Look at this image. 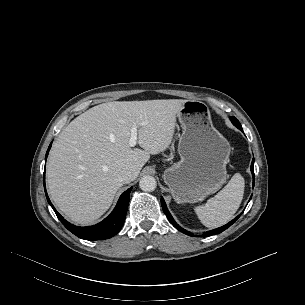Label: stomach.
Instances as JSON below:
<instances>
[{
	"mask_svg": "<svg viewBox=\"0 0 305 305\" xmlns=\"http://www.w3.org/2000/svg\"><path fill=\"white\" fill-rule=\"evenodd\" d=\"M182 127L181 160L164 171V182L177 203H196L226 181L231 147L213 126L208 106L187 100L177 113Z\"/></svg>",
	"mask_w": 305,
	"mask_h": 305,
	"instance_id": "0dacf381",
	"label": "stomach"
}]
</instances>
